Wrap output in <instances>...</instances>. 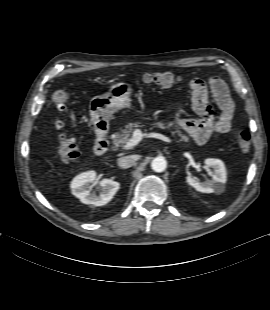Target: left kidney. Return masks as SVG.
<instances>
[{"label": "left kidney", "mask_w": 270, "mask_h": 310, "mask_svg": "<svg viewBox=\"0 0 270 310\" xmlns=\"http://www.w3.org/2000/svg\"><path fill=\"white\" fill-rule=\"evenodd\" d=\"M204 164L206 167L213 169L212 179L205 182H199L197 179L187 176V184L202 193H223L225 189L224 184L227 180L224 163L219 159L207 158L205 159Z\"/></svg>", "instance_id": "1"}]
</instances>
